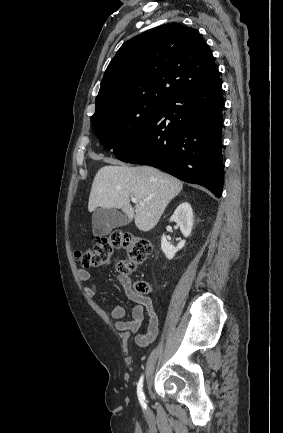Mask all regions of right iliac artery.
<instances>
[{
	"label": "right iliac artery",
	"mask_w": 283,
	"mask_h": 433,
	"mask_svg": "<svg viewBox=\"0 0 283 433\" xmlns=\"http://www.w3.org/2000/svg\"><path fill=\"white\" fill-rule=\"evenodd\" d=\"M143 378H144V376L142 375L139 382H138L137 395H138V399H139L141 406L146 409L145 395L143 393Z\"/></svg>",
	"instance_id": "1"
}]
</instances>
